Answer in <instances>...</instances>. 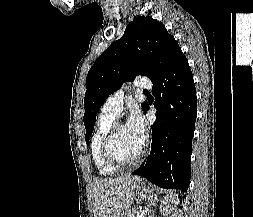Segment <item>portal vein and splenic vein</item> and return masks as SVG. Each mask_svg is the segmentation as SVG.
<instances>
[{
    "instance_id": "18ae733b",
    "label": "portal vein and splenic vein",
    "mask_w": 253,
    "mask_h": 217,
    "mask_svg": "<svg viewBox=\"0 0 253 217\" xmlns=\"http://www.w3.org/2000/svg\"><path fill=\"white\" fill-rule=\"evenodd\" d=\"M146 212H147L146 210H142L136 215V217H145Z\"/></svg>"
}]
</instances>
